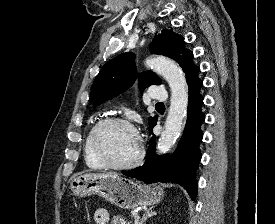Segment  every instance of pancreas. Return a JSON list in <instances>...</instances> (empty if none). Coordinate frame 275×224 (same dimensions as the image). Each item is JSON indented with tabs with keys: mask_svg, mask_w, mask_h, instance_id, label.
I'll use <instances>...</instances> for the list:
<instances>
[{
	"mask_svg": "<svg viewBox=\"0 0 275 224\" xmlns=\"http://www.w3.org/2000/svg\"><path fill=\"white\" fill-rule=\"evenodd\" d=\"M112 224H131V221L126 220V218L121 215H117L113 217Z\"/></svg>",
	"mask_w": 275,
	"mask_h": 224,
	"instance_id": "1",
	"label": "pancreas"
}]
</instances>
